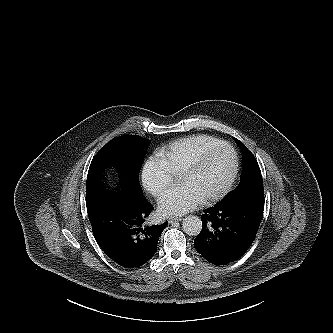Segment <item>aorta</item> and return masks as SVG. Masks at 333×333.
<instances>
[{
  "label": "aorta",
  "mask_w": 333,
  "mask_h": 333,
  "mask_svg": "<svg viewBox=\"0 0 333 333\" xmlns=\"http://www.w3.org/2000/svg\"><path fill=\"white\" fill-rule=\"evenodd\" d=\"M183 231L189 236H197L202 230V221L198 216L189 215L183 219Z\"/></svg>",
  "instance_id": "1"
}]
</instances>
